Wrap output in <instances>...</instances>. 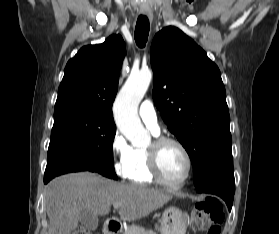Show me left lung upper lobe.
Here are the masks:
<instances>
[{
    "mask_svg": "<svg viewBox=\"0 0 279 234\" xmlns=\"http://www.w3.org/2000/svg\"><path fill=\"white\" fill-rule=\"evenodd\" d=\"M153 98L188 152L194 184L234 177L230 116L219 68L176 27L158 32L150 50Z\"/></svg>",
    "mask_w": 279,
    "mask_h": 234,
    "instance_id": "obj_1",
    "label": "left lung upper lobe"
}]
</instances>
